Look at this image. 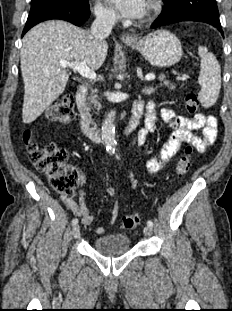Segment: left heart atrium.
<instances>
[{
	"label": "left heart atrium",
	"mask_w": 232,
	"mask_h": 311,
	"mask_svg": "<svg viewBox=\"0 0 232 311\" xmlns=\"http://www.w3.org/2000/svg\"><path fill=\"white\" fill-rule=\"evenodd\" d=\"M124 17L139 18L146 11V0H107Z\"/></svg>",
	"instance_id": "obj_1"
}]
</instances>
